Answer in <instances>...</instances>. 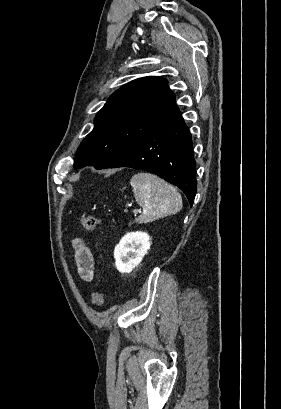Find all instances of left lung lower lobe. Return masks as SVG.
Segmentation results:
<instances>
[{
    "label": "left lung lower lobe",
    "mask_w": 281,
    "mask_h": 409,
    "mask_svg": "<svg viewBox=\"0 0 281 409\" xmlns=\"http://www.w3.org/2000/svg\"><path fill=\"white\" fill-rule=\"evenodd\" d=\"M131 167L146 170L178 186L190 206L196 195L192 139L180 111L166 123L108 161L101 169Z\"/></svg>",
    "instance_id": "1"
}]
</instances>
